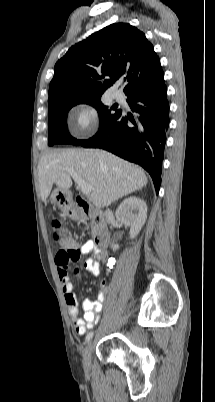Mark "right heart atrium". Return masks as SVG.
<instances>
[{
  "instance_id": "obj_1",
  "label": "right heart atrium",
  "mask_w": 215,
  "mask_h": 402,
  "mask_svg": "<svg viewBox=\"0 0 215 402\" xmlns=\"http://www.w3.org/2000/svg\"><path fill=\"white\" fill-rule=\"evenodd\" d=\"M97 121V112L90 105L78 104L72 110V129L78 137H87L93 133Z\"/></svg>"
}]
</instances>
